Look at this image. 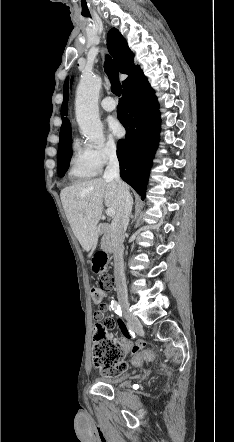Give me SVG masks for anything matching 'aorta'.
Listing matches in <instances>:
<instances>
[{"mask_svg":"<svg viewBox=\"0 0 234 442\" xmlns=\"http://www.w3.org/2000/svg\"><path fill=\"white\" fill-rule=\"evenodd\" d=\"M102 81L98 76L82 77L76 92V119L82 134L93 143L104 142L103 126L98 113Z\"/></svg>","mask_w":234,"mask_h":442,"instance_id":"obj_1","label":"aorta"}]
</instances>
